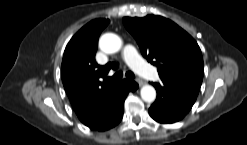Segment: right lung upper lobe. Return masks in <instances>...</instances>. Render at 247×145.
I'll return each instance as SVG.
<instances>
[{"instance_id": "obj_1", "label": "right lung upper lobe", "mask_w": 247, "mask_h": 145, "mask_svg": "<svg viewBox=\"0 0 247 145\" xmlns=\"http://www.w3.org/2000/svg\"><path fill=\"white\" fill-rule=\"evenodd\" d=\"M108 23V19L89 22L72 37L64 51L62 81L81 121L105 106L120 83L105 80L114 64L100 66L95 61L98 37Z\"/></svg>"}]
</instances>
